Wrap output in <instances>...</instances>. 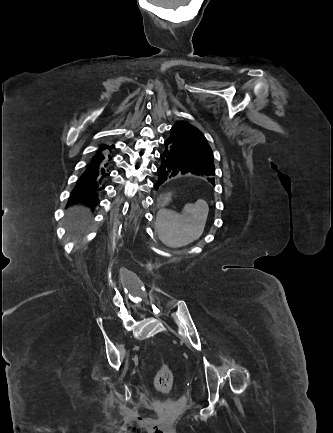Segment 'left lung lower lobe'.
I'll return each instance as SVG.
<instances>
[{
    "instance_id": "left-lung-lower-lobe-1",
    "label": "left lung lower lobe",
    "mask_w": 333,
    "mask_h": 433,
    "mask_svg": "<svg viewBox=\"0 0 333 433\" xmlns=\"http://www.w3.org/2000/svg\"><path fill=\"white\" fill-rule=\"evenodd\" d=\"M160 159L159 179L154 184L156 190L163 187L174 176L185 174L211 176L215 174L214 165L200 159L177 143H169L168 140L164 141ZM209 181L214 184L213 179H209Z\"/></svg>"
}]
</instances>
